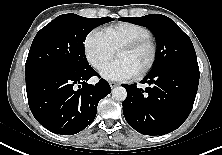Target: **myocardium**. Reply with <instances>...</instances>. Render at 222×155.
Listing matches in <instances>:
<instances>
[{
    "label": "myocardium",
    "instance_id": "obj_1",
    "mask_svg": "<svg viewBox=\"0 0 222 155\" xmlns=\"http://www.w3.org/2000/svg\"><path fill=\"white\" fill-rule=\"evenodd\" d=\"M148 45L151 49V56L148 61V63L138 72L135 74V77L140 79L146 76L154 67L157 56H158V47L155 39L150 36V37H143L139 38L137 40H134L132 42L123 44L116 50V54H118L121 51H134L142 46Z\"/></svg>",
    "mask_w": 222,
    "mask_h": 155
}]
</instances>
